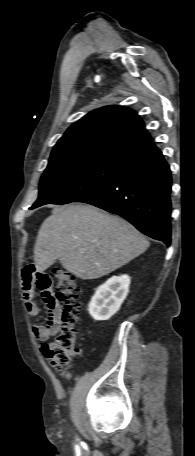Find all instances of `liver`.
I'll return each instance as SVG.
<instances>
[{
	"instance_id": "6515ba94",
	"label": "liver",
	"mask_w": 195,
	"mask_h": 456,
	"mask_svg": "<svg viewBox=\"0 0 195 456\" xmlns=\"http://www.w3.org/2000/svg\"><path fill=\"white\" fill-rule=\"evenodd\" d=\"M149 241L124 219L86 204L56 207L42 223L35 244V266L43 272L59 260L76 277H102L127 264Z\"/></svg>"
}]
</instances>
